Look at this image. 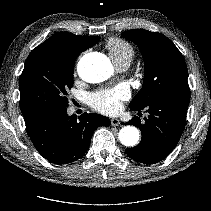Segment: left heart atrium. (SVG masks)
Listing matches in <instances>:
<instances>
[{
	"label": "left heart atrium",
	"mask_w": 211,
	"mask_h": 211,
	"mask_svg": "<svg viewBox=\"0 0 211 211\" xmlns=\"http://www.w3.org/2000/svg\"><path fill=\"white\" fill-rule=\"evenodd\" d=\"M128 98V91L124 87L101 90L90 97V105L95 110L112 114L121 107V102Z\"/></svg>",
	"instance_id": "obj_1"
}]
</instances>
